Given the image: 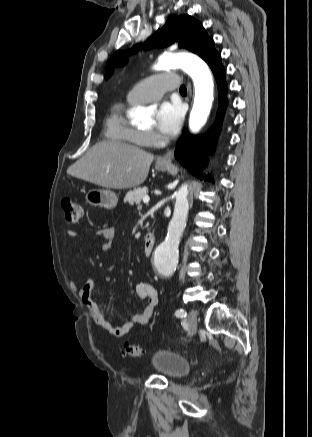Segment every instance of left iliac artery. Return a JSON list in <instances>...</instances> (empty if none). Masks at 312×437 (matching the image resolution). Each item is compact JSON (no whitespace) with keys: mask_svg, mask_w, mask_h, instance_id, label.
<instances>
[{"mask_svg":"<svg viewBox=\"0 0 312 437\" xmlns=\"http://www.w3.org/2000/svg\"><path fill=\"white\" fill-rule=\"evenodd\" d=\"M186 315H187V313H186V311L184 309H178L175 312V316L178 317V318L186 317Z\"/></svg>","mask_w":312,"mask_h":437,"instance_id":"44dca946","label":"left iliac artery"}]
</instances>
